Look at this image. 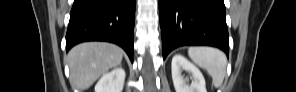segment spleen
Instances as JSON below:
<instances>
[{
	"label": "spleen",
	"mask_w": 296,
	"mask_h": 92,
	"mask_svg": "<svg viewBox=\"0 0 296 92\" xmlns=\"http://www.w3.org/2000/svg\"><path fill=\"white\" fill-rule=\"evenodd\" d=\"M188 55L195 64L207 70L216 88L222 85L227 66L223 52L212 47H190Z\"/></svg>",
	"instance_id": "obj_1"
}]
</instances>
